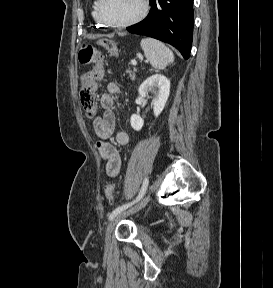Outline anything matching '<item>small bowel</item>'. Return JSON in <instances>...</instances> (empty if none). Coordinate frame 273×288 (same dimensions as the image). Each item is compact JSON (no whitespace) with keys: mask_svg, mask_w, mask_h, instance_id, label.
Returning <instances> with one entry per match:
<instances>
[{"mask_svg":"<svg viewBox=\"0 0 273 288\" xmlns=\"http://www.w3.org/2000/svg\"><path fill=\"white\" fill-rule=\"evenodd\" d=\"M119 93L120 86L118 83L111 82L108 84L107 91L102 93L99 99L104 112L93 121L94 132L99 138L97 148L105 161L106 173L112 178L118 176L121 168L120 154L116 147L109 142L116 127L115 114L112 110L114 97ZM115 139L119 145H125L129 141V135L125 130H120L116 133Z\"/></svg>","mask_w":273,"mask_h":288,"instance_id":"c3829d8e","label":"small bowel"}]
</instances>
